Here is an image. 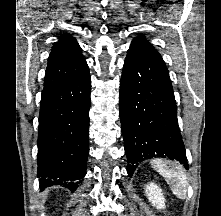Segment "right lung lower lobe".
<instances>
[{"mask_svg":"<svg viewBox=\"0 0 221 216\" xmlns=\"http://www.w3.org/2000/svg\"><path fill=\"white\" fill-rule=\"evenodd\" d=\"M89 70L42 93L38 130L40 189L55 184L76 190L89 152Z\"/></svg>","mask_w":221,"mask_h":216,"instance_id":"obj_1","label":"right lung lower lobe"}]
</instances>
